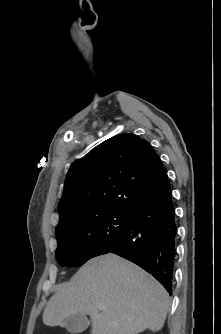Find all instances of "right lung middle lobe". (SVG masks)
I'll list each match as a JSON object with an SVG mask.
<instances>
[{
	"label": "right lung middle lobe",
	"instance_id": "obj_1",
	"mask_svg": "<svg viewBox=\"0 0 221 334\" xmlns=\"http://www.w3.org/2000/svg\"><path fill=\"white\" fill-rule=\"evenodd\" d=\"M131 213L110 212L71 226L57 237L55 256L63 265H83L114 247L129 224Z\"/></svg>",
	"mask_w": 221,
	"mask_h": 334
}]
</instances>
